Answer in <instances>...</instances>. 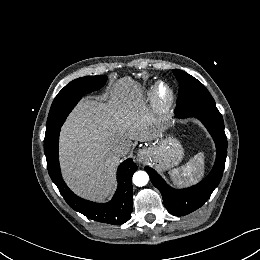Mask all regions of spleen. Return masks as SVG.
I'll use <instances>...</instances> for the list:
<instances>
[{"label":"spleen","instance_id":"1","mask_svg":"<svg viewBox=\"0 0 260 260\" xmlns=\"http://www.w3.org/2000/svg\"><path fill=\"white\" fill-rule=\"evenodd\" d=\"M204 153L200 152L179 169L170 172V177L176 186H189L199 182L204 176Z\"/></svg>","mask_w":260,"mask_h":260}]
</instances>
